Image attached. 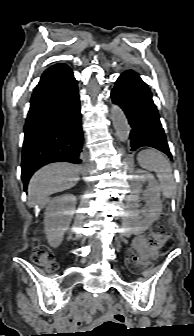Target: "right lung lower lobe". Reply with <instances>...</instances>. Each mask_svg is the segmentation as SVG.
<instances>
[{"instance_id":"obj_1","label":"right lung lower lobe","mask_w":194,"mask_h":336,"mask_svg":"<svg viewBox=\"0 0 194 336\" xmlns=\"http://www.w3.org/2000/svg\"><path fill=\"white\" fill-rule=\"evenodd\" d=\"M82 147L77 81L66 64H56L43 73L31 98L21 164L25 188L48 163H80Z\"/></svg>"}]
</instances>
